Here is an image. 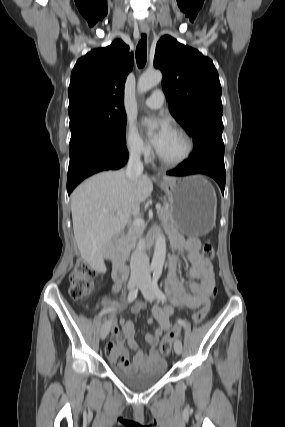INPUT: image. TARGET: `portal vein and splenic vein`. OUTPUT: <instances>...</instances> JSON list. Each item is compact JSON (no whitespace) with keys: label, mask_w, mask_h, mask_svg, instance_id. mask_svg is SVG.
I'll return each instance as SVG.
<instances>
[{"label":"portal vein and splenic vein","mask_w":285,"mask_h":427,"mask_svg":"<svg viewBox=\"0 0 285 427\" xmlns=\"http://www.w3.org/2000/svg\"><path fill=\"white\" fill-rule=\"evenodd\" d=\"M155 207H156V209H157V210H160V209H161V205H160V204H156V206H155ZM117 214H120V213L118 212ZM133 224H134V225H136V226L144 225V220H143V219H141V218L136 219V220H134Z\"/></svg>","instance_id":"portal-vein-and-splenic-vein-1"}]
</instances>
